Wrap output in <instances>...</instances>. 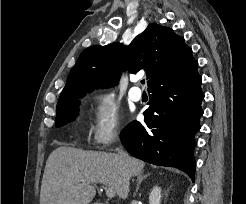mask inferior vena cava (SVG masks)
<instances>
[{
    "instance_id": "602c4592",
    "label": "inferior vena cava",
    "mask_w": 246,
    "mask_h": 204,
    "mask_svg": "<svg viewBox=\"0 0 246 204\" xmlns=\"http://www.w3.org/2000/svg\"><path fill=\"white\" fill-rule=\"evenodd\" d=\"M117 151L120 159L124 161L127 157V154L121 148H118Z\"/></svg>"
}]
</instances>
